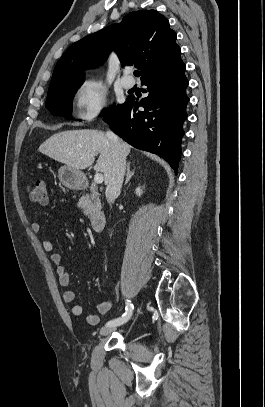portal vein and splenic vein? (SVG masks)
Returning a JSON list of instances; mask_svg holds the SVG:
<instances>
[{
    "label": "portal vein and splenic vein",
    "instance_id": "18ae733b",
    "mask_svg": "<svg viewBox=\"0 0 265 407\" xmlns=\"http://www.w3.org/2000/svg\"><path fill=\"white\" fill-rule=\"evenodd\" d=\"M104 180L103 174L102 173H96L94 176V182L96 184H101Z\"/></svg>",
    "mask_w": 265,
    "mask_h": 407
}]
</instances>
